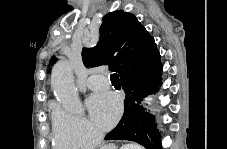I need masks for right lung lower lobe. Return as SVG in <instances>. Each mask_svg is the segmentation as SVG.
<instances>
[{
	"label": "right lung lower lobe",
	"mask_w": 227,
	"mask_h": 149,
	"mask_svg": "<svg viewBox=\"0 0 227 149\" xmlns=\"http://www.w3.org/2000/svg\"><path fill=\"white\" fill-rule=\"evenodd\" d=\"M162 65L160 57L153 62L127 72L121 77L126 93L124 114L118 125L106 135L105 140H131L147 149H161L160 135L153 124L154 116L146 113L142 98L160 87Z\"/></svg>",
	"instance_id": "right-lung-lower-lobe-1"
}]
</instances>
